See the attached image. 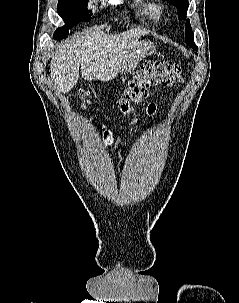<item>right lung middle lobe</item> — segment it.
<instances>
[{
	"label": "right lung middle lobe",
	"instance_id": "obj_1",
	"mask_svg": "<svg viewBox=\"0 0 239 303\" xmlns=\"http://www.w3.org/2000/svg\"><path fill=\"white\" fill-rule=\"evenodd\" d=\"M88 0H59L57 11L66 23L65 26L58 28L53 35L54 39H61L68 36L69 28H72L80 20H90L87 15Z\"/></svg>",
	"mask_w": 239,
	"mask_h": 303
}]
</instances>
